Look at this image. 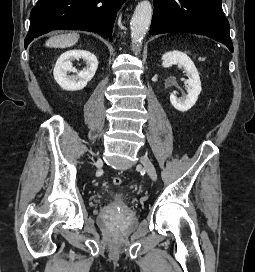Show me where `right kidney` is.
Wrapping results in <instances>:
<instances>
[{"label": "right kidney", "instance_id": "ca27d5eb", "mask_svg": "<svg viewBox=\"0 0 255 272\" xmlns=\"http://www.w3.org/2000/svg\"><path fill=\"white\" fill-rule=\"evenodd\" d=\"M80 58L86 62V68L78 73L71 61ZM97 68L98 61L94 54L86 50L75 49L63 53L58 58L53 75L61 88L67 91H77L87 85L96 73ZM68 72L77 73V76H69L67 75Z\"/></svg>", "mask_w": 255, "mask_h": 272}]
</instances>
